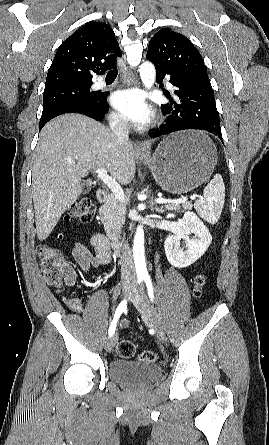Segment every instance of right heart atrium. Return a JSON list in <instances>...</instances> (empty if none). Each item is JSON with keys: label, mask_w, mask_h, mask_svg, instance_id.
I'll list each match as a JSON object with an SVG mask.
<instances>
[{"label": "right heart atrium", "mask_w": 269, "mask_h": 445, "mask_svg": "<svg viewBox=\"0 0 269 445\" xmlns=\"http://www.w3.org/2000/svg\"><path fill=\"white\" fill-rule=\"evenodd\" d=\"M110 123L116 128H125L127 123L125 119L117 112H112L109 116Z\"/></svg>", "instance_id": "1"}]
</instances>
